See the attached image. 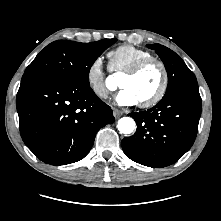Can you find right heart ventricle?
Returning <instances> with one entry per match:
<instances>
[{"instance_id":"1","label":"right heart ventricle","mask_w":221,"mask_h":221,"mask_svg":"<svg viewBox=\"0 0 221 221\" xmlns=\"http://www.w3.org/2000/svg\"><path fill=\"white\" fill-rule=\"evenodd\" d=\"M107 56L109 58L108 67L110 71L121 73L137 61L152 56V54L144 48L124 44L108 52Z\"/></svg>"}]
</instances>
